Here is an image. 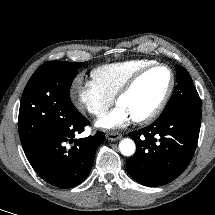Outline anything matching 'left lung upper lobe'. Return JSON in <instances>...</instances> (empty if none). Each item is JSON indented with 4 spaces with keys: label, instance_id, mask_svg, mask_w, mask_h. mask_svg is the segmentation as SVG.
Wrapping results in <instances>:
<instances>
[{
    "label": "left lung upper lobe",
    "instance_id": "left-lung-upper-lobe-1",
    "mask_svg": "<svg viewBox=\"0 0 215 215\" xmlns=\"http://www.w3.org/2000/svg\"><path fill=\"white\" fill-rule=\"evenodd\" d=\"M176 70L177 86L162 114L173 111L201 114V100L189 73L180 66Z\"/></svg>",
    "mask_w": 215,
    "mask_h": 215
}]
</instances>
